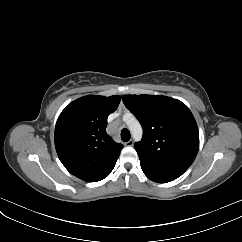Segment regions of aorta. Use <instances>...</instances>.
<instances>
[{"instance_id": "762f6f07", "label": "aorta", "mask_w": 242, "mask_h": 242, "mask_svg": "<svg viewBox=\"0 0 242 242\" xmlns=\"http://www.w3.org/2000/svg\"><path fill=\"white\" fill-rule=\"evenodd\" d=\"M127 125L129 130L133 136L135 141H139L142 137V126L139 121L135 117H131L129 121H127Z\"/></svg>"}]
</instances>
